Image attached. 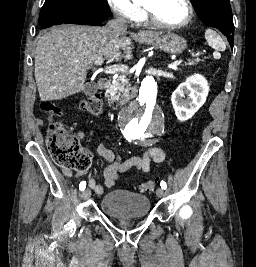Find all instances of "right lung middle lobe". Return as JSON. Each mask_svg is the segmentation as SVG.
Returning <instances> with one entry per match:
<instances>
[{
    "mask_svg": "<svg viewBox=\"0 0 256 267\" xmlns=\"http://www.w3.org/2000/svg\"><path fill=\"white\" fill-rule=\"evenodd\" d=\"M106 19L112 16L107 0H45L39 16V24L72 17Z\"/></svg>",
    "mask_w": 256,
    "mask_h": 267,
    "instance_id": "obj_1",
    "label": "right lung middle lobe"
}]
</instances>
